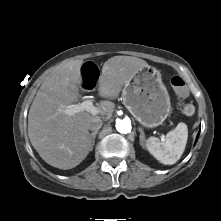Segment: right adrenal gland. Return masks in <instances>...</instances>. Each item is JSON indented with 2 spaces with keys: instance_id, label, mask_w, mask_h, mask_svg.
Wrapping results in <instances>:
<instances>
[{
  "instance_id": "1",
  "label": "right adrenal gland",
  "mask_w": 221,
  "mask_h": 221,
  "mask_svg": "<svg viewBox=\"0 0 221 221\" xmlns=\"http://www.w3.org/2000/svg\"><path fill=\"white\" fill-rule=\"evenodd\" d=\"M97 133L98 132L96 131V132H93V133L90 134V138L92 139V147L95 144V138H96Z\"/></svg>"
}]
</instances>
